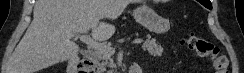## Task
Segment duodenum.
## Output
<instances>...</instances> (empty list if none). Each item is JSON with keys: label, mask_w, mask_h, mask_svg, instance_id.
<instances>
[{"label": "duodenum", "mask_w": 244, "mask_h": 73, "mask_svg": "<svg viewBox=\"0 0 244 73\" xmlns=\"http://www.w3.org/2000/svg\"><path fill=\"white\" fill-rule=\"evenodd\" d=\"M135 67L133 66L129 72L134 73ZM68 73H95V65L88 60L73 56L68 63Z\"/></svg>", "instance_id": "410a0bca"}]
</instances>
